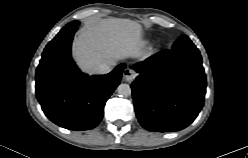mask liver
I'll return each instance as SVG.
<instances>
[{
	"mask_svg": "<svg viewBox=\"0 0 248 158\" xmlns=\"http://www.w3.org/2000/svg\"><path fill=\"white\" fill-rule=\"evenodd\" d=\"M142 26L130 19L110 18L94 21L81 29L72 46L79 67L96 74L101 64L143 56Z\"/></svg>",
	"mask_w": 248,
	"mask_h": 158,
	"instance_id": "6515ba94",
	"label": "liver"
}]
</instances>
